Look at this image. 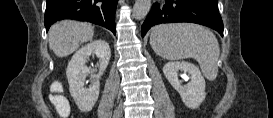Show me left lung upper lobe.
I'll list each match as a JSON object with an SVG mask.
<instances>
[{
  "instance_id": "left-lung-upper-lobe-1",
  "label": "left lung upper lobe",
  "mask_w": 273,
  "mask_h": 118,
  "mask_svg": "<svg viewBox=\"0 0 273 118\" xmlns=\"http://www.w3.org/2000/svg\"><path fill=\"white\" fill-rule=\"evenodd\" d=\"M213 2L218 3V0H213Z\"/></svg>"
}]
</instances>
